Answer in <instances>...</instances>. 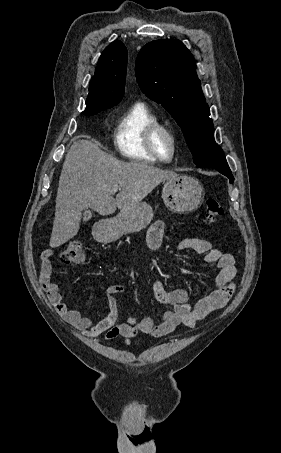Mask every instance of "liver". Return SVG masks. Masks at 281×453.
Here are the masks:
<instances>
[{
    "instance_id": "obj_1",
    "label": "liver",
    "mask_w": 281,
    "mask_h": 453,
    "mask_svg": "<svg viewBox=\"0 0 281 453\" xmlns=\"http://www.w3.org/2000/svg\"><path fill=\"white\" fill-rule=\"evenodd\" d=\"M174 170H162L150 162H124L101 150L91 140H76L63 162L57 188L50 247H60L77 235L82 212L92 208L107 216L117 208L141 202L160 182L176 178ZM112 186L122 188L116 198Z\"/></svg>"
}]
</instances>
